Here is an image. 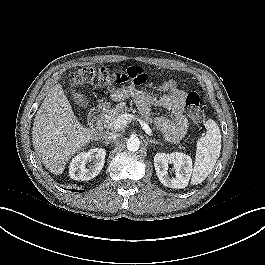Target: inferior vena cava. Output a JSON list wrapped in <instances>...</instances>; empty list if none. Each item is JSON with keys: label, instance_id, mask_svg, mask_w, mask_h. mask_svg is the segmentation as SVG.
<instances>
[{"label": "inferior vena cava", "instance_id": "602c4592", "mask_svg": "<svg viewBox=\"0 0 265 265\" xmlns=\"http://www.w3.org/2000/svg\"><path fill=\"white\" fill-rule=\"evenodd\" d=\"M119 137V134L118 133H112V132H108L104 135V139L107 141V142H112L116 139H118Z\"/></svg>", "mask_w": 265, "mask_h": 265}]
</instances>
